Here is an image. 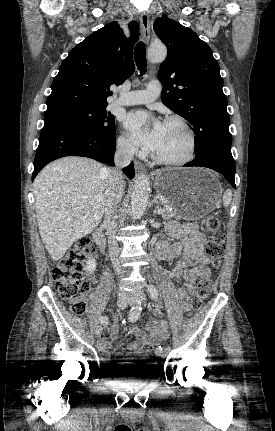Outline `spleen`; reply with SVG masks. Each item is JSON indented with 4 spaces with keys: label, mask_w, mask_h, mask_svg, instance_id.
Segmentation results:
<instances>
[{
    "label": "spleen",
    "mask_w": 275,
    "mask_h": 431,
    "mask_svg": "<svg viewBox=\"0 0 275 431\" xmlns=\"http://www.w3.org/2000/svg\"><path fill=\"white\" fill-rule=\"evenodd\" d=\"M232 200V192L231 190H226L223 194V205L227 207Z\"/></svg>",
    "instance_id": "obj_1"
}]
</instances>
